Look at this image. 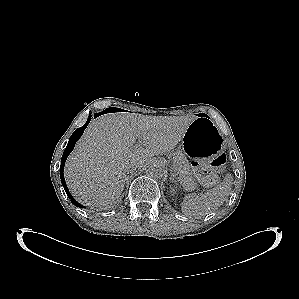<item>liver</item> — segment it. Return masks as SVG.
<instances>
[{
    "label": "liver",
    "mask_w": 299,
    "mask_h": 299,
    "mask_svg": "<svg viewBox=\"0 0 299 299\" xmlns=\"http://www.w3.org/2000/svg\"><path fill=\"white\" fill-rule=\"evenodd\" d=\"M194 116L105 114L93 120L65 165V180L83 205L105 209L119 199L130 166L140 168L182 141ZM139 140L143 147H136Z\"/></svg>",
    "instance_id": "1"
}]
</instances>
